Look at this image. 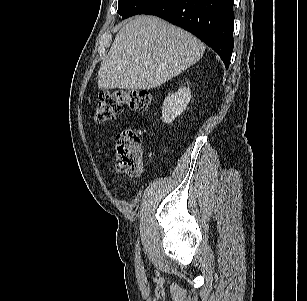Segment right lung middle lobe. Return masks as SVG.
I'll return each mask as SVG.
<instances>
[{"mask_svg": "<svg viewBox=\"0 0 307 301\" xmlns=\"http://www.w3.org/2000/svg\"><path fill=\"white\" fill-rule=\"evenodd\" d=\"M160 0H119L118 13L122 18L140 14Z\"/></svg>", "mask_w": 307, "mask_h": 301, "instance_id": "obj_1", "label": "right lung middle lobe"}]
</instances>
